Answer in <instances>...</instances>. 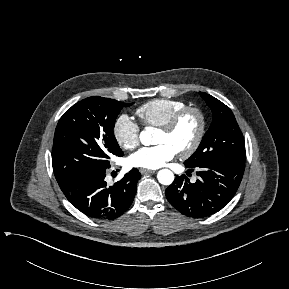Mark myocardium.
<instances>
[{"instance_id":"f54148a6","label":"myocardium","mask_w":289,"mask_h":289,"mask_svg":"<svg viewBox=\"0 0 289 289\" xmlns=\"http://www.w3.org/2000/svg\"><path fill=\"white\" fill-rule=\"evenodd\" d=\"M188 114H195L197 116L199 120V126L192 143L184 150L177 152L181 158H187L191 156L199 148L206 132L207 122L204 112L195 106H185L184 108L177 111L165 124L159 127L161 131L165 133H171L177 128L182 119Z\"/></svg>"}]
</instances>
